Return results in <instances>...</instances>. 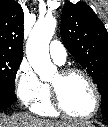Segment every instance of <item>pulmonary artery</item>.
I'll return each instance as SVG.
<instances>
[{"mask_svg":"<svg viewBox=\"0 0 108 127\" xmlns=\"http://www.w3.org/2000/svg\"><path fill=\"white\" fill-rule=\"evenodd\" d=\"M50 56L59 65L66 61L67 52L63 44L57 40L52 41L49 47Z\"/></svg>","mask_w":108,"mask_h":127,"instance_id":"obj_1","label":"pulmonary artery"}]
</instances>
